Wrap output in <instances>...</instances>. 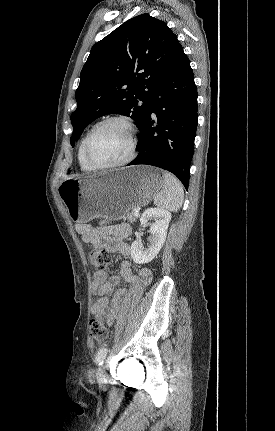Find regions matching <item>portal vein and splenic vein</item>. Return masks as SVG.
<instances>
[{"label":"portal vein and splenic vein","instance_id":"obj_1","mask_svg":"<svg viewBox=\"0 0 275 431\" xmlns=\"http://www.w3.org/2000/svg\"><path fill=\"white\" fill-rule=\"evenodd\" d=\"M135 216H138L139 215V211L138 210H136V211H134V213H133Z\"/></svg>","mask_w":275,"mask_h":431}]
</instances>
